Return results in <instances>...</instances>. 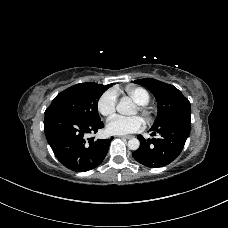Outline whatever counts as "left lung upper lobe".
Segmentation results:
<instances>
[{
    "instance_id": "1",
    "label": "left lung upper lobe",
    "mask_w": 228,
    "mask_h": 228,
    "mask_svg": "<svg viewBox=\"0 0 228 228\" xmlns=\"http://www.w3.org/2000/svg\"><path fill=\"white\" fill-rule=\"evenodd\" d=\"M148 88L155 96L158 104V117L153 125L161 123L185 112H190V102L173 85L158 81L152 78H145L133 81ZM175 125L180 128L182 121L175 118Z\"/></svg>"
}]
</instances>
